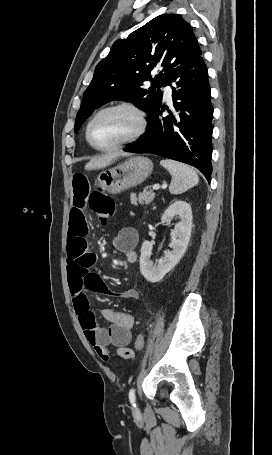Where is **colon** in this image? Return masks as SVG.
I'll use <instances>...</instances> for the list:
<instances>
[{
	"label": "colon",
	"instance_id": "obj_1",
	"mask_svg": "<svg viewBox=\"0 0 272 455\" xmlns=\"http://www.w3.org/2000/svg\"><path fill=\"white\" fill-rule=\"evenodd\" d=\"M89 208L97 216L99 223L106 226L114 214L115 204L112 198L99 190H95L89 197ZM143 346L144 336L139 334L135 340V349L141 350Z\"/></svg>",
	"mask_w": 272,
	"mask_h": 455
}]
</instances>
